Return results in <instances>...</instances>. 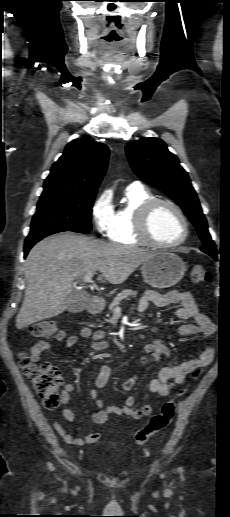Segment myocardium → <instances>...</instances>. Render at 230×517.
Wrapping results in <instances>:
<instances>
[{
    "instance_id": "f54148a6",
    "label": "myocardium",
    "mask_w": 230,
    "mask_h": 517,
    "mask_svg": "<svg viewBox=\"0 0 230 517\" xmlns=\"http://www.w3.org/2000/svg\"><path fill=\"white\" fill-rule=\"evenodd\" d=\"M160 205H165L171 208L179 216L184 225L183 236L175 242L163 243L156 240L152 235L150 228L151 216L154 210ZM136 230L139 238L151 246L157 248H174L180 246L187 240L190 232V226L186 215L175 203L167 199L153 198L145 202L139 208L136 218Z\"/></svg>"
}]
</instances>
